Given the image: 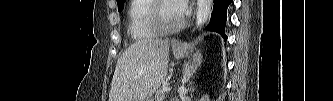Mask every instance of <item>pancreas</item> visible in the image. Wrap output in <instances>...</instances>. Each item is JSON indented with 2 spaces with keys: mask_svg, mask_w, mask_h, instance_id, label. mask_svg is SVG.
<instances>
[{
  "mask_svg": "<svg viewBox=\"0 0 333 101\" xmlns=\"http://www.w3.org/2000/svg\"><path fill=\"white\" fill-rule=\"evenodd\" d=\"M165 91H164V88L161 87L157 90V93L155 95V101H164L165 100Z\"/></svg>",
  "mask_w": 333,
  "mask_h": 101,
  "instance_id": "pancreas-1",
  "label": "pancreas"
}]
</instances>
